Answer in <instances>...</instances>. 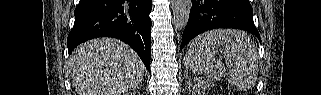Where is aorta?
<instances>
[{"instance_id":"762f6f07","label":"aorta","mask_w":321,"mask_h":95,"mask_svg":"<svg viewBox=\"0 0 321 95\" xmlns=\"http://www.w3.org/2000/svg\"><path fill=\"white\" fill-rule=\"evenodd\" d=\"M191 0H172L173 22L176 29L184 30L190 16Z\"/></svg>"}]
</instances>
